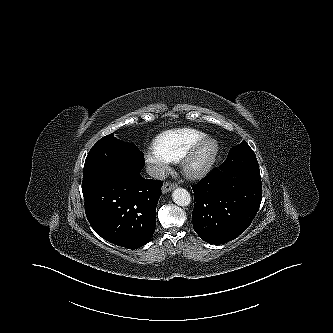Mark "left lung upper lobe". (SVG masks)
<instances>
[{
	"instance_id": "left-lung-upper-lobe-1",
	"label": "left lung upper lobe",
	"mask_w": 333,
	"mask_h": 333,
	"mask_svg": "<svg viewBox=\"0 0 333 333\" xmlns=\"http://www.w3.org/2000/svg\"><path fill=\"white\" fill-rule=\"evenodd\" d=\"M241 154L247 155V161L243 162L242 159H238ZM226 160L232 162L236 172H245L252 176L260 177V170L256 156L245 141H242L240 145L231 148Z\"/></svg>"
}]
</instances>
